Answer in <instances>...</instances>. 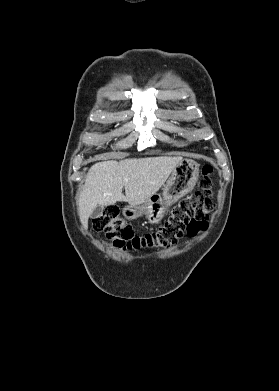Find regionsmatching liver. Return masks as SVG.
Masks as SVG:
<instances>
[{
	"label": "liver",
	"instance_id": "1",
	"mask_svg": "<svg viewBox=\"0 0 279 391\" xmlns=\"http://www.w3.org/2000/svg\"><path fill=\"white\" fill-rule=\"evenodd\" d=\"M182 160L181 156H162L94 164L87 173L78 202L83 227L88 228V219L98 205L109 206L118 201L128 202L131 206L143 204L157 193Z\"/></svg>",
	"mask_w": 279,
	"mask_h": 391
}]
</instances>
